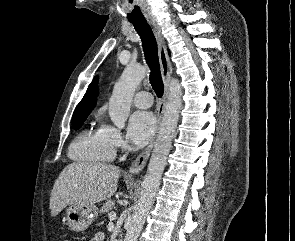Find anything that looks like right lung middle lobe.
<instances>
[{
    "mask_svg": "<svg viewBox=\"0 0 295 241\" xmlns=\"http://www.w3.org/2000/svg\"><path fill=\"white\" fill-rule=\"evenodd\" d=\"M89 114H81V115H77V116H73V119H72V127L73 129H79L83 122L86 120L87 116Z\"/></svg>",
    "mask_w": 295,
    "mask_h": 241,
    "instance_id": "1",
    "label": "right lung middle lobe"
}]
</instances>
